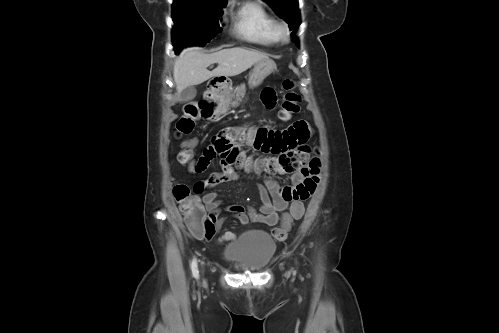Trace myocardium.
Segmentation results:
<instances>
[{
    "label": "myocardium",
    "mask_w": 499,
    "mask_h": 333,
    "mask_svg": "<svg viewBox=\"0 0 499 333\" xmlns=\"http://www.w3.org/2000/svg\"><path fill=\"white\" fill-rule=\"evenodd\" d=\"M275 34L279 40H287L289 37V27L286 22L276 21L275 23Z\"/></svg>",
    "instance_id": "f54148a6"
}]
</instances>
